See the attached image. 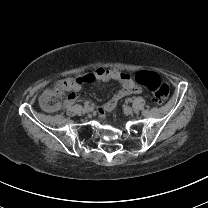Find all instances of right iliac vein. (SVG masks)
<instances>
[{"label":"right iliac vein","instance_id":"obj_1","mask_svg":"<svg viewBox=\"0 0 208 208\" xmlns=\"http://www.w3.org/2000/svg\"><path fill=\"white\" fill-rule=\"evenodd\" d=\"M83 111H84V113H90L91 112V107L90 106L84 107Z\"/></svg>","mask_w":208,"mask_h":208}]
</instances>
